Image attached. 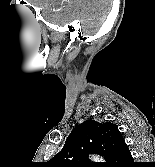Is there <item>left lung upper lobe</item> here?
<instances>
[{
    "label": "left lung upper lobe",
    "instance_id": "1",
    "mask_svg": "<svg viewBox=\"0 0 155 167\" xmlns=\"http://www.w3.org/2000/svg\"><path fill=\"white\" fill-rule=\"evenodd\" d=\"M122 141L124 138L115 124L87 120L72 130L61 151L47 162V166H109ZM89 153L100 154L106 162L104 164L91 162L88 159Z\"/></svg>",
    "mask_w": 155,
    "mask_h": 167
}]
</instances>
